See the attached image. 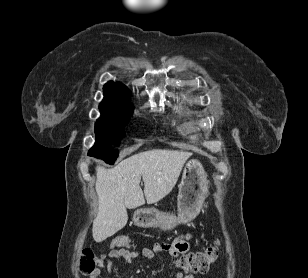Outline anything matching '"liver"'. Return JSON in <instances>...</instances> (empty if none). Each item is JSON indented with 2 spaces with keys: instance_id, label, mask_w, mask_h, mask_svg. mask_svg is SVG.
Wrapping results in <instances>:
<instances>
[{
  "instance_id": "1",
  "label": "liver",
  "mask_w": 308,
  "mask_h": 278,
  "mask_svg": "<svg viewBox=\"0 0 308 278\" xmlns=\"http://www.w3.org/2000/svg\"><path fill=\"white\" fill-rule=\"evenodd\" d=\"M190 152L153 149L122 160L112 169L97 165L95 189L98 214L92 234L102 242L121 230L128 221L126 208L157 203L175 187ZM141 178L144 191L140 187Z\"/></svg>"
}]
</instances>
